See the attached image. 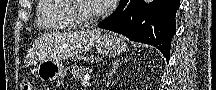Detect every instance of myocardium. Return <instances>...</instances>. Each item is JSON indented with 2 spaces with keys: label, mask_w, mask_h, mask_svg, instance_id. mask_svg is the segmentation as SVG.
<instances>
[{
  "label": "myocardium",
  "mask_w": 216,
  "mask_h": 90,
  "mask_svg": "<svg viewBox=\"0 0 216 90\" xmlns=\"http://www.w3.org/2000/svg\"><path fill=\"white\" fill-rule=\"evenodd\" d=\"M78 1H94V0H68L65 3V9H67V18H71L80 28H95V24L99 20H105L109 16L110 9L105 4L101 3L97 15L94 17L81 16L75 11V3Z\"/></svg>",
  "instance_id": "myocardium-1"
}]
</instances>
